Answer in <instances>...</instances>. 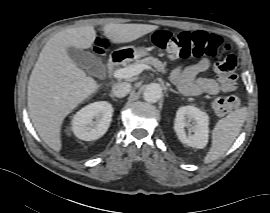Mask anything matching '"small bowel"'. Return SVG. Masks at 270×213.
<instances>
[{
    "label": "small bowel",
    "mask_w": 270,
    "mask_h": 213,
    "mask_svg": "<svg viewBox=\"0 0 270 213\" xmlns=\"http://www.w3.org/2000/svg\"><path fill=\"white\" fill-rule=\"evenodd\" d=\"M209 68L210 61L203 58L193 65L175 68L171 73V78L186 96L214 95L219 92L218 82L212 78L197 77L199 73Z\"/></svg>",
    "instance_id": "obj_1"
}]
</instances>
